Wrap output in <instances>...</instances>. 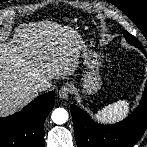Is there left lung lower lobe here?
I'll return each mask as SVG.
<instances>
[{
  "instance_id": "obj_1",
  "label": "left lung lower lobe",
  "mask_w": 147,
  "mask_h": 147,
  "mask_svg": "<svg viewBox=\"0 0 147 147\" xmlns=\"http://www.w3.org/2000/svg\"><path fill=\"white\" fill-rule=\"evenodd\" d=\"M142 52L147 57L145 51ZM71 112L78 147H132L147 127V83L136 110L116 124L95 122L85 110L74 104Z\"/></svg>"
}]
</instances>
